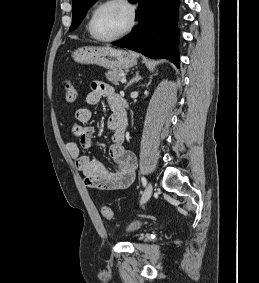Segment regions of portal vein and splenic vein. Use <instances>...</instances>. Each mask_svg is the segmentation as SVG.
I'll return each mask as SVG.
<instances>
[{
  "mask_svg": "<svg viewBox=\"0 0 259 283\" xmlns=\"http://www.w3.org/2000/svg\"><path fill=\"white\" fill-rule=\"evenodd\" d=\"M125 82H126V77H122L121 83H125Z\"/></svg>",
  "mask_w": 259,
  "mask_h": 283,
  "instance_id": "portal-vein-and-splenic-vein-1",
  "label": "portal vein and splenic vein"
}]
</instances>
